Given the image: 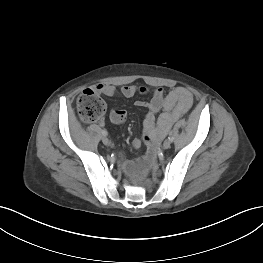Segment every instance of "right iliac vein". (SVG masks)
Wrapping results in <instances>:
<instances>
[{
    "instance_id": "right-iliac-vein-1",
    "label": "right iliac vein",
    "mask_w": 263,
    "mask_h": 263,
    "mask_svg": "<svg viewBox=\"0 0 263 263\" xmlns=\"http://www.w3.org/2000/svg\"><path fill=\"white\" fill-rule=\"evenodd\" d=\"M102 142H103L104 145H108L109 144V139L106 136H104L102 138Z\"/></svg>"
}]
</instances>
